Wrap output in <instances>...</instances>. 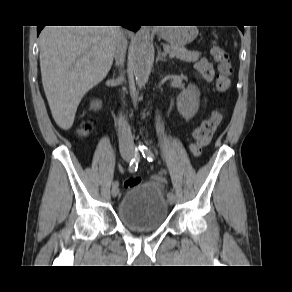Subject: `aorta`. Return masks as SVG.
Wrapping results in <instances>:
<instances>
[{
    "label": "aorta",
    "mask_w": 292,
    "mask_h": 292,
    "mask_svg": "<svg viewBox=\"0 0 292 292\" xmlns=\"http://www.w3.org/2000/svg\"><path fill=\"white\" fill-rule=\"evenodd\" d=\"M131 58L136 84L141 88L148 81L151 62L150 34L145 26L135 35Z\"/></svg>",
    "instance_id": "762f6f07"
}]
</instances>
